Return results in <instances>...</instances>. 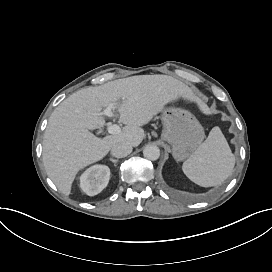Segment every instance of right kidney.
Masks as SVG:
<instances>
[{"label": "right kidney", "mask_w": 272, "mask_h": 272, "mask_svg": "<svg viewBox=\"0 0 272 272\" xmlns=\"http://www.w3.org/2000/svg\"><path fill=\"white\" fill-rule=\"evenodd\" d=\"M110 169L106 165H94L80 176V188L88 196L99 194L109 183Z\"/></svg>", "instance_id": "ca27d5eb"}]
</instances>
